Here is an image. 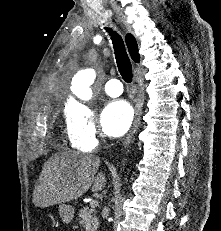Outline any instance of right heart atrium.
<instances>
[{
  "label": "right heart atrium",
  "instance_id": "1",
  "mask_svg": "<svg viewBox=\"0 0 221 231\" xmlns=\"http://www.w3.org/2000/svg\"><path fill=\"white\" fill-rule=\"evenodd\" d=\"M66 132L74 147L82 151L97 148L101 136L94 109L83 102L72 103L66 113Z\"/></svg>",
  "mask_w": 221,
  "mask_h": 231
}]
</instances>
